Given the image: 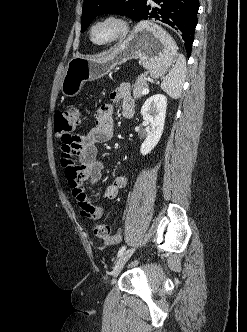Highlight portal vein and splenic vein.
<instances>
[{
    "label": "portal vein and splenic vein",
    "mask_w": 247,
    "mask_h": 332,
    "mask_svg": "<svg viewBox=\"0 0 247 332\" xmlns=\"http://www.w3.org/2000/svg\"><path fill=\"white\" fill-rule=\"evenodd\" d=\"M149 92V89L148 88H145L143 91H142V94H147Z\"/></svg>",
    "instance_id": "18ae733b"
}]
</instances>
